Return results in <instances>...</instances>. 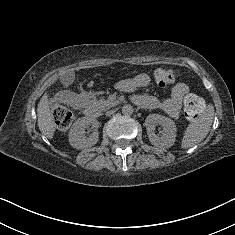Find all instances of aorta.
<instances>
[{
  "label": "aorta",
  "instance_id": "1",
  "mask_svg": "<svg viewBox=\"0 0 235 235\" xmlns=\"http://www.w3.org/2000/svg\"><path fill=\"white\" fill-rule=\"evenodd\" d=\"M133 106H131L130 104H126L122 107V113L123 115H126V116H130L133 114Z\"/></svg>",
  "mask_w": 235,
  "mask_h": 235
}]
</instances>
